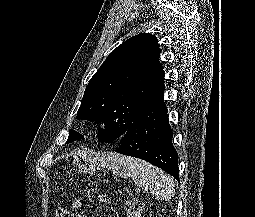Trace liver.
<instances>
[{
    "label": "liver",
    "mask_w": 255,
    "mask_h": 217,
    "mask_svg": "<svg viewBox=\"0 0 255 217\" xmlns=\"http://www.w3.org/2000/svg\"><path fill=\"white\" fill-rule=\"evenodd\" d=\"M87 153H89V152H84V154H82V156H85Z\"/></svg>",
    "instance_id": "6515ba94"
}]
</instances>
